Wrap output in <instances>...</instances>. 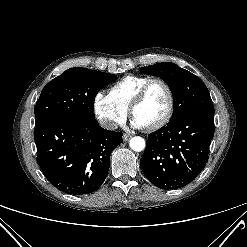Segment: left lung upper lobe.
<instances>
[{
	"label": "left lung upper lobe",
	"instance_id": "1",
	"mask_svg": "<svg viewBox=\"0 0 247 247\" xmlns=\"http://www.w3.org/2000/svg\"><path fill=\"white\" fill-rule=\"evenodd\" d=\"M140 72L158 76L168 84L174 100L170 122L189 114L214 116V106L206 85L191 72L170 62L142 67Z\"/></svg>",
	"mask_w": 247,
	"mask_h": 247
}]
</instances>
